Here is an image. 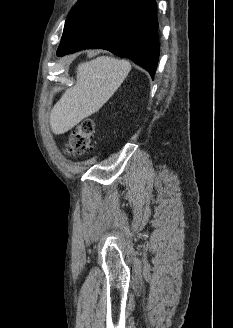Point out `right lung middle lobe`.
Instances as JSON below:
<instances>
[{
    "label": "right lung middle lobe",
    "mask_w": 233,
    "mask_h": 328,
    "mask_svg": "<svg viewBox=\"0 0 233 328\" xmlns=\"http://www.w3.org/2000/svg\"><path fill=\"white\" fill-rule=\"evenodd\" d=\"M92 0H78V2L75 4V6L72 8V10L70 11V15L74 12H76L77 10L83 8L84 6H86L88 3H90Z\"/></svg>",
    "instance_id": "right-lung-middle-lobe-1"
}]
</instances>
